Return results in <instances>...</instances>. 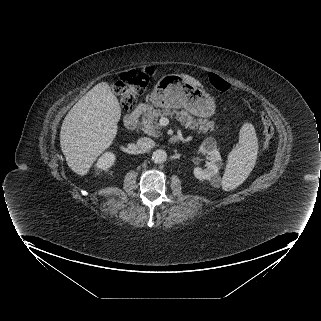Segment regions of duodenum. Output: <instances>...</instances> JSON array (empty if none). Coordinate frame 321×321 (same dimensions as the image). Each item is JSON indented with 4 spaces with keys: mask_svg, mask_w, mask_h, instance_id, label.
Masks as SVG:
<instances>
[{
    "mask_svg": "<svg viewBox=\"0 0 321 321\" xmlns=\"http://www.w3.org/2000/svg\"><path fill=\"white\" fill-rule=\"evenodd\" d=\"M146 106L144 104H139L136 108L129 113L125 118V126L127 129H134L138 123L139 116L145 110ZM174 142L179 141V137H175Z\"/></svg>",
    "mask_w": 321,
    "mask_h": 321,
    "instance_id": "duodenum-1",
    "label": "duodenum"
}]
</instances>
